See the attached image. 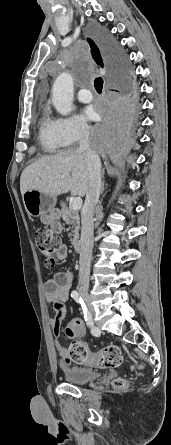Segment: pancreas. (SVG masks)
Segmentation results:
<instances>
[{"instance_id": "pancreas-1", "label": "pancreas", "mask_w": 171, "mask_h": 445, "mask_svg": "<svg viewBox=\"0 0 171 445\" xmlns=\"http://www.w3.org/2000/svg\"><path fill=\"white\" fill-rule=\"evenodd\" d=\"M62 219L67 224L71 225L73 228V234H69L70 241L75 243L79 238V229H80V218L77 211L72 210L71 207L63 206L62 207Z\"/></svg>"}]
</instances>
